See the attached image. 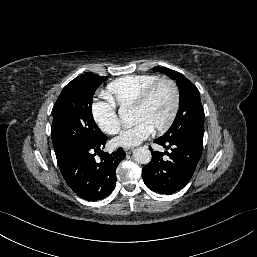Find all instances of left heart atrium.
Wrapping results in <instances>:
<instances>
[{
	"label": "left heart atrium",
	"mask_w": 257,
	"mask_h": 257,
	"mask_svg": "<svg viewBox=\"0 0 257 257\" xmlns=\"http://www.w3.org/2000/svg\"><path fill=\"white\" fill-rule=\"evenodd\" d=\"M153 129L144 121H138L134 126L122 130L118 136L113 139V144L118 147H133L152 133Z\"/></svg>",
	"instance_id": "left-heart-atrium-1"
}]
</instances>
